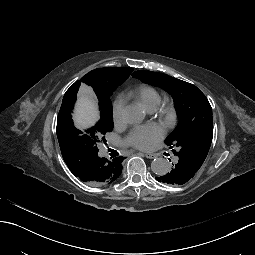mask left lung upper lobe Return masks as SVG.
I'll return each mask as SVG.
<instances>
[{"label": "left lung upper lobe", "instance_id": "5c2ea615", "mask_svg": "<svg viewBox=\"0 0 255 255\" xmlns=\"http://www.w3.org/2000/svg\"><path fill=\"white\" fill-rule=\"evenodd\" d=\"M132 76L172 95L179 122L165 139V144L177 147V151H172L179 157L178 162L183 169H190L194 176L203 164L212 142L213 119L209 101L195 85L166 74L136 71Z\"/></svg>", "mask_w": 255, "mask_h": 255}]
</instances>
